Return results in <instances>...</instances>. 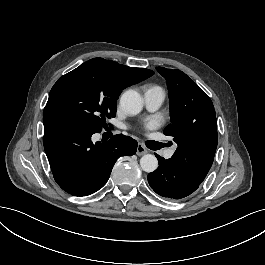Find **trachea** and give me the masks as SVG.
Here are the masks:
<instances>
[{
    "mask_svg": "<svg viewBox=\"0 0 265 265\" xmlns=\"http://www.w3.org/2000/svg\"><path fill=\"white\" fill-rule=\"evenodd\" d=\"M156 144L158 145L157 149H160L162 147H167V144H162V143H158V142H156Z\"/></svg>",
    "mask_w": 265,
    "mask_h": 265,
    "instance_id": "obj_1",
    "label": "trachea"
}]
</instances>
